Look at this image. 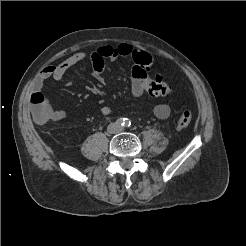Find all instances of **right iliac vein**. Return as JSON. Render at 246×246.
<instances>
[{"instance_id":"1","label":"right iliac vein","mask_w":246,"mask_h":246,"mask_svg":"<svg viewBox=\"0 0 246 246\" xmlns=\"http://www.w3.org/2000/svg\"><path fill=\"white\" fill-rule=\"evenodd\" d=\"M113 130H114V127L111 126V127L109 128V131L112 132Z\"/></svg>"}]
</instances>
